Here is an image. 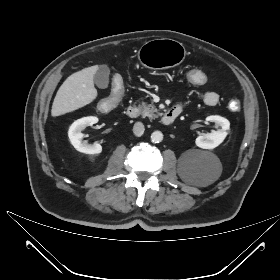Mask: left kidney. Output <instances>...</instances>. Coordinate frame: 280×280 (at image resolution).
I'll return each mask as SVG.
<instances>
[{
  "mask_svg": "<svg viewBox=\"0 0 280 280\" xmlns=\"http://www.w3.org/2000/svg\"><path fill=\"white\" fill-rule=\"evenodd\" d=\"M209 122H214L216 128H219L217 131H213L209 134H203L196 138L195 143L199 148L202 149H214L219 146L228 134L230 129V122L219 115H211L206 118Z\"/></svg>",
  "mask_w": 280,
  "mask_h": 280,
  "instance_id": "1",
  "label": "left kidney"
}]
</instances>
